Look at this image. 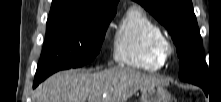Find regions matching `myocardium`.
<instances>
[{"mask_svg":"<svg viewBox=\"0 0 221 102\" xmlns=\"http://www.w3.org/2000/svg\"><path fill=\"white\" fill-rule=\"evenodd\" d=\"M155 51L165 62L173 54V46L170 41L164 38L157 42Z\"/></svg>","mask_w":221,"mask_h":102,"instance_id":"obj_1","label":"myocardium"}]
</instances>
